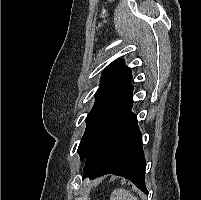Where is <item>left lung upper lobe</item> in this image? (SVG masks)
Masks as SVG:
<instances>
[{
    "instance_id": "left-lung-upper-lobe-1",
    "label": "left lung upper lobe",
    "mask_w": 201,
    "mask_h": 200,
    "mask_svg": "<svg viewBox=\"0 0 201 200\" xmlns=\"http://www.w3.org/2000/svg\"><path fill=\"white\" fill-rule=\"evenodd\" d=\"M131 80V69L124 65L122 59L115 60L103 71L100 86L95 93L96 101L85 119L87 127L78 147L81 160L101 124L132 92Z\"/></svg>"
}]
</instances>
